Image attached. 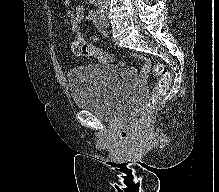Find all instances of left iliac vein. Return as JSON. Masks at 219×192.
Masks as SVG:
<instances>
[{
	"label": "left iliac vein",
	"instance_id": "4c4485c4",
	"mask_svg": "<svg viewBox=\"0 0 219 192\" xmlns=\"http://www.w3.org/2000/svg\"><path fill=\"white\" fill-rule=\"evenodd\" d=\"M101 24L103 26H107L108 25V16H107V13L104 12L103 16H102V19L100 20Z\"/></svg>",
	"mask_w": 219,
	"mask_h": 192
}]
</instances>
